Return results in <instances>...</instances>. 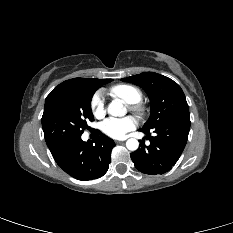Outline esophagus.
<instances>
[{"instance_id": "1", "label": "esophagus", "mask_w": 233, "mask_h": 233, "mask_svg": "<svg viewBox=\"0 0 233 233\" xmlns=\"http://www.w3.org/2000/svg\"><path fill=\"white\" fill-rule=\"evenodd\" d=\"M116 143H117V144H121V143H122V141H116Z\"/></svg>"}]
</instances>
